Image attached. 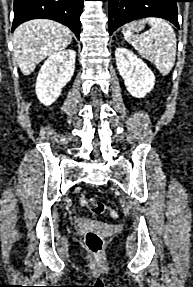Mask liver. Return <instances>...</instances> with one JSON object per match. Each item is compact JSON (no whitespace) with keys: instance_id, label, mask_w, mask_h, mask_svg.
I'll use <instances>...</instances> for the list:
<instances>
[{"instance_id":"1","label":"liver","mask_w":193,"mask_h":287,"mask_svg":"<svg viewBox=\"0 0 193 287\" xmlns=\"http://www.w3.org/2000/svg\"><path fill=\"white\" fill-rule=\"evenodd\" d=\"M71 41L72 32L66 26L52 20L35 19L14 31V55L20 70L28 76L42 60L65 49Z\"/></svg>"}]
</instances>
